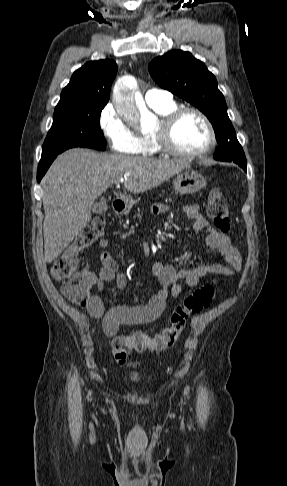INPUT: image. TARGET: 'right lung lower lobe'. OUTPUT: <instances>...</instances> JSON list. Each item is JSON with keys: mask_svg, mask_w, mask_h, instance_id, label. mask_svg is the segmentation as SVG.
Here are the masks:
<instances>
[{"mask_svg": "<svg viewBox=\"0 0 287 486\" xmlns=\"http://www.w3.org/2000/svg\"><path fill=\"white\" fill-rule=\"evenodd\" d=\"M57 157V155L41 159L38 165L37 171V181L40 182L46 171L48 170L49 166L53 162V160Z\"/></svg>", "mask_w": 287, "mask_h": 486, "instance_id": "obj_1", "label": "right lung lower lobe"}]
</instances>
